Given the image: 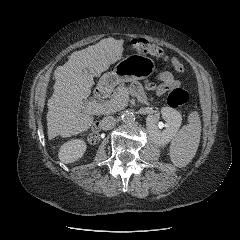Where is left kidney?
<instances>
[{
	"instance_id": "1",
	"label": "left kidney",
	"mask_w": 240,
	"mask_h": 240,
	"mask_svg": "<svg viewBox=\"0 0 240 240\" xmlns=\"http://www.w3.org/2000/svg\"><path fill=\"white\" fill-rule=\"evenodd\" d=\"M161 115L166 122L165 130H158L156 126L158 117L155 115L147 116L146 126L151 139L158 145H165L177 134L178 129L181 126L182 116L178 111L171 107H163L161 109Z\"/></svg>"
}]
</instances>
